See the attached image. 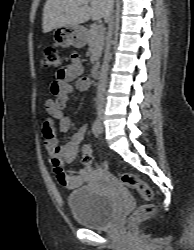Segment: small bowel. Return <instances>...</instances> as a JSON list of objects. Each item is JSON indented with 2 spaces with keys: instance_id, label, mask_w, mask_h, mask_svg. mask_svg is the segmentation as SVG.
<instances>
[{
  "instance_id": "1",
  "label": "small bowel",
  "mask_w": 194,
  "mask_h": 250,
  "mask_svg": "<svg viewBox=\"0 0 194 250\" xmlns=\"http://www.w3.org/2000/svg\"><path fill=\"white\" fill-rule=\"evenodd\" d=\"M82 70V65L79 62H73L59 71L57 79L52 81L49 86L55 98L48 99L45 103L49 114L43 126L45 150L50 158L51 166L57 180L69 189L80 187L88 180L92 173V169L89 166L84 167L77 173H72L64 169L65 164H71L75 161L79 146L84 139L86 128L81 127L72 134L67 143L59 145L54 120L59 122L61 132H68L70 130L72 121L63 113V109L75 89L84 91L90 87V81L85 77H81ZM74 81L75 85L72 84Z\"/></svg>"
}]
</instances>
